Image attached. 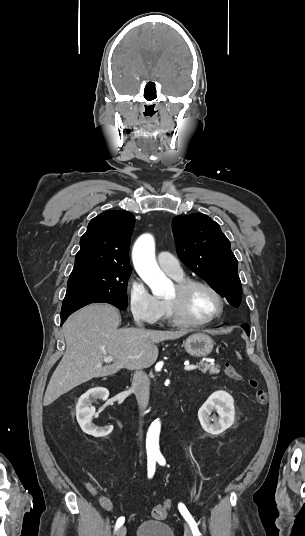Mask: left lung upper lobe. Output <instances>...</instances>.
Wrapping results in <instances>:
<instances>
[{
  "mask_svg": "<svg viewBox=\"0 0 305 536\" xmlns=\"http://www.w3.org/2000/svg\"><path fill=\"white\" fill-rule=\"evenodd\" d=\"M172 228L181 261L232 306L238 307L242 297L238 261L218 223L195 213L176 216Z\"/></svg>",
  "mask_w": 305,
  "mask_h": 536,
  "instance_id": "obj_1",
  "label": "left lung upper lobe"
}]
</instances>
